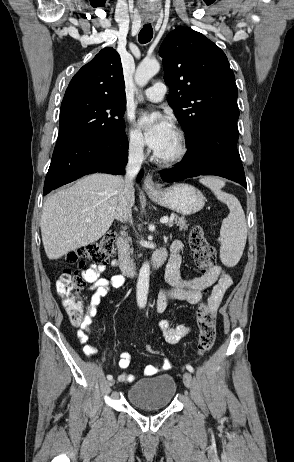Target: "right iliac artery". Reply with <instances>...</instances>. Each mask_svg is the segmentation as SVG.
<instances>
[{"label":"right iliac artery","mask_w":294,"mask_h":462,"mask_svg":"<svg viewBox=\"0 0 294 462\" xmlns=\"http://www.w3.org/2000/svg\"><path fill=\"white\" fill-rule=\"evenodd\" d=\"M107 379L112 380L113 379L112 375H107Z\"/></svg>","instance_id":"obj_1"}]
</instances>
